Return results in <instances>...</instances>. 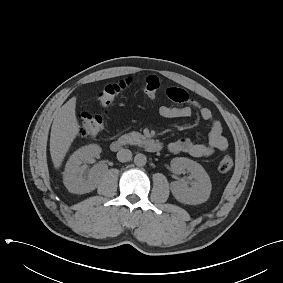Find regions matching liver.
Segmentation results:
<instances>
[{"mask_svg": "<svg viewBox=\"0 0 283 283\" xmlns=\"http://www.w3.org/2000/svg\"><path fill=\"white\" fill-rule=\"evenodd\" d=\"M76 97L67 101L55 114L50 135V154L56 169L79 134L80 126L76 117Z\"/></svg>", "mask_w": 283, "mask_h": 283, "instance_id": "1", "label": "liver"}]
</instances>
